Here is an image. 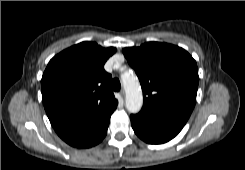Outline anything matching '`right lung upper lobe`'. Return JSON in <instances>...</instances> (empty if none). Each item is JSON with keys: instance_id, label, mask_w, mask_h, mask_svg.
Returning a JSON list of instances; mask_svg holds the SVG:
<instances>
[{"instance_id": "cb5924a9", "label": "right lung upper lobe", "mask_w": 245, "mask_h": 170, "mask_svg": "<svg viewBox=\"0 0 245 170\" xmlns=\"http://www.w3.org/2000/svg\"><path fill=\"white\" fill-rule=\"evenodd\" d=\"M116 52L82 42L53 57L41 80L45 111L56 133L69 145L86 148L108 128L117 100L104 70Z\"/></svg>"}]
</instances>
